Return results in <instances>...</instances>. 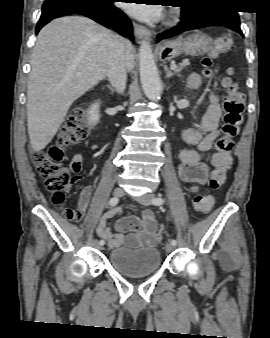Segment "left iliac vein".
Returning a JSON list of instances; mask_svg holds the SVG:
<instances>
[{
  "instance_id": "4c4485c4",
  "label": "left iliac vein",
  "mask_w": 270,
  "mask_h": 338,
  "mask_svg": "<svg viewBox=\"0 0 270 338\" xmlns=\"http://www.w3.org/2000/svg\"><path fill=\"white\" fill-rule=\"evenodd\" d=\"M154 198V195L152 193H146L138 198L136 200L141 203L142 205H151L152 204V199ZM175 246L172 245L171 243L166 244V251L172 252L174 250Z\"/></svg>"
}]
</instances>
